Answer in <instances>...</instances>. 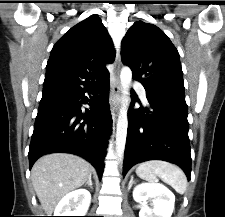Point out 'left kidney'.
<instances>
[{"instance_id": "1", "label": "left kidney", "mask_w": 225, "mask_h": 217, "mask_svg": "<svg viewBox=\"0 0 225 217\" xmlns=\"http://www.w3.org/2000/svg\"><path fill=\"white\" fill-rule=\"evenodd\" d=\"M133 198L136 202L144 203L139 217H171L173 213L175 196L162 184H140L134 188ZM147 200L152 202L153 208L147 206Z\"/></svg>"}]
</instances>
